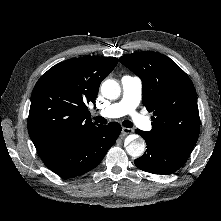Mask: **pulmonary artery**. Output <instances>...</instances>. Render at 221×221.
<instances>
[{
    "label": "pulmonary artery",
    "mask_w": 221,
    "mask_h": 221,
    "mask_svg": "<svg viewBox=\"0 0 221 221\" xmlns=\"http://www.w3.org/2000/svg\"><path fill=\"white\" fill-rule=\"evenodd\" d=\"M122 98L99 111V115L107 118H118L130 115L133 123L143 130L151 128V121L136 111L142 97V81L137 76L125 75L121 79Z\"/></svg>",
    "instance_id": "pulmonary-artery-1"
}]
</instances>
